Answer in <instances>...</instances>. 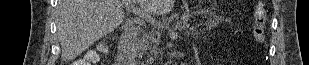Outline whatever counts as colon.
<instances>
[{
	"instance_id": "1",
	"label": "colon",
	"mask_w": 309,
	"mask_h": 65,
	"mask_svg": "<svg viewBox=\"0 0 309 65\" xmlns=\"http://www.w3.org/2000/svg\"><path fill=\"white\" fill-rule=\"evenodd\" d=\"M266 21H267L266 10L263 5L258 4L255 7V11H254L255 25H254V31H253L254 40L258 44H263L266 39ZM95 55H96V52L88 51L85 53L84 59L75 62L74 65H89L90 63L83 64L82 62L88 59H94Z\"/></svg>"
}]
</instances>
